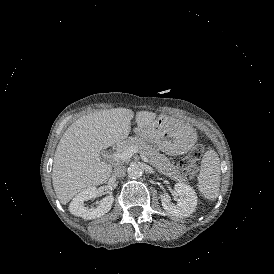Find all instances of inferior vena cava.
Instances as JSON below:
<instances>
[{"instance_id": "1", "label": "inferior vena cava", "mask_w": 274, "mask_h": 274, "mask_svg": "<svg viewBox=\"0 0 274 274\" xmlns=\"http://www.w3.org/2000/svg\"><path fill=\"white\" fill-rule=\"evenodd\" d=\"M126 170L127 169L124 166H117L113 169L112 176L116 179L121 178L125 174Z\"/></svg>"}]
</instances>
